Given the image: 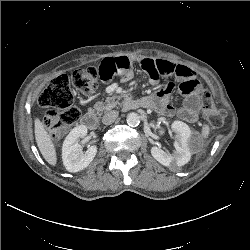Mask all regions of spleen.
Listing matches in <instances>:
<instances>
[{
  "label": "spleen",
  "mask_w": 250,
  "mask_h": 250,
  "mask_svg": "<svg viewBox=\"0 0 250 250\" xmlns=\"http://www.w3.org/2000/svg\"><path fill=\"white\" fill-rule=\"evenodd\" d=\"M209 131H210V128H209V126L208 125H204L203 126V128H202V136L204 137V138H207L208 137V135H209Z\"/></svg>",
  "instance_id": "1"
}]
</instances>
